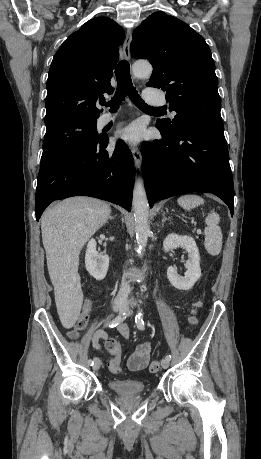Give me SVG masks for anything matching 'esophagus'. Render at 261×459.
I'll list each match as a JSON object with an SVG mask.
<instances>
[{
    "mask_svg": "<svg viewBox=\"0 0 261 459\" xmlns=\"http://www.w3.org/2000/svg\"><path fill=\"white\" fill-rule=\"evenodd\" d=\"M132 41V30L128 29L125 37V41L123 44L122 48V56L124 57L125 60L129 61L130 60V44ZM131 152L134 158V163L136 168H140L141 165V160H142V155L139 147L133 146L131 148Z\"/></svg>",
    "mask_w": 261,
    "mask_h": 459,
    "instance_id": "esophagus-1",
    "label": "esophagus"
}]
</instances>
